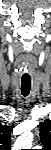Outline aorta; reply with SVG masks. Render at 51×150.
<instances>
[{"label":"aorta","mask_w":51,"mask_h":150,"mask_svg":"<svg viewBox=\"0 0 51 150\" xmlns=\"http://www.w3.org/2000/svg\"><path fill=\"white\" fill-rule=\"evenodd\" d=\"M33 143V134L26 132L19 136L13 145V150L30 149Z\"/></svg>","instance_id":"aorta-1"}]
</instances>
